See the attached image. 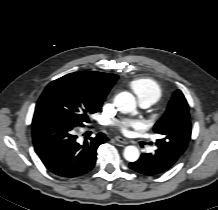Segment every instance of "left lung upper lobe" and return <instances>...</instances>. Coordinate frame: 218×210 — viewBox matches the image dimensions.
Returning <instances> with one entry per match:
<instances>
[{"label": "left lung upper lobe", "mask_w": 218, "mask_h": 210, "mask_svg": "<svg viewBox=\"0 0 218 210\" xmlns=\"http://www.w3.org/2000/svg\"><path fill=\"white\" fill-rule=\"evenodd\" d=\"M153 130L162 136L156 145L165 155L184 153L191 137V122L188 103L180 90L172 95L166 112Z\"/></svg>", "instance_id": "1"}]
</instances>
